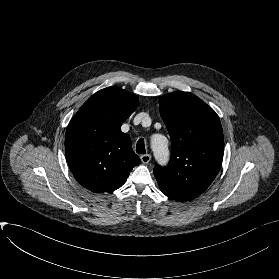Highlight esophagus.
<instances>
[{"instance_id": "esophagus-1", "label": "esophagus", "mask_w": 279, "mask_h": 279, "mask_svg": "<svg viewBox=\"0 0 279 279\" xmlns=\"http://www.w3.org/2000/svg\"><path fill=\"white\" fill-rule=\"evenodd\" d=\"M140 159L142 163L147 164L151 160V155L150 154L141 155Z\"/></svg>"}]
</instances>
